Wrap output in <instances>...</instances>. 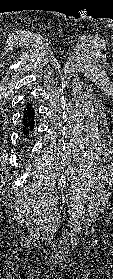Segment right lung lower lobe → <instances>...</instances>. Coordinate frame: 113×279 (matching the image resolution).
<instances>
[{
    "label": "right lung lower lobe",
    "mask_w": 113,
    "mask_h": 279,
    "mask_svg": "<svg viewBox=\"0 0 113 279\" xmlns=\"http://www.w3.org/2000/svg\"><path fill=\"white\" fill-rule=\"evenodd\" d=\"M33 118H34L33 108L30 104H28L27 107L24 109V116L22 121V124L24 125L22 129L24 137H26L29 134V132H31L32 129L34 128Z\"/></svg>",
    "instance_id": "right-lung-lower-lobe-1"
}]
</instances>
